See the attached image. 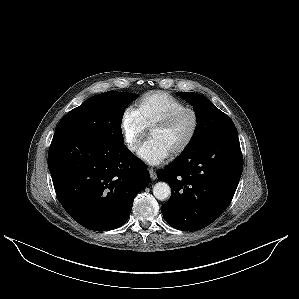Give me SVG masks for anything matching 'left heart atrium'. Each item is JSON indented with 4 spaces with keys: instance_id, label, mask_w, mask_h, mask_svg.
<instances>
[{
    "instance_id": "1",
    "label": "left heart atrium",
    "mask_w": 299,
    "mask_h": 299,
    "mask_svg": "<svg viewBox=\"0 0 299 299\" xmlns=\"http://www.w3.org/2000/svg\"><path fill=\"white\" fill-rule=\"evenodd\" d=\"M170 152L157 139H148L139 149L138 156L150 165H158L162 163Z\"/></svg>"
}]
</instances>
